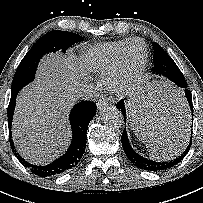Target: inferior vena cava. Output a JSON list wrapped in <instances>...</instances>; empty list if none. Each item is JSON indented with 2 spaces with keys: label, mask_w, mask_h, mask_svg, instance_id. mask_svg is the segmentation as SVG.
Returning <instances> with one entry per match:
<instances>
[{
  "label": "inferior vena cava",
  "mask_w": 203,
  "mask_h": 203,
  "mask_svg": "<svg viewBox=\"0 0 203 203\" xmlns=\"http://www.w3.org/2000/svg\"><path fill=\"white\" fill-rule=\"evenodd\" d=\"M92 97V90L85 84H79L73 92V98L75 100H87Z\"/></svg>",
  "instance_id": "1"
}]
</instances>
